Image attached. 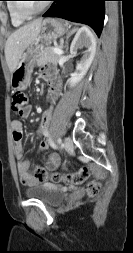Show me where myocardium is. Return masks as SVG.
<instances>
[{"instance_id":"obj_1","label":"myocardium","mask_w":133,"mask_h":253,"mask_svg":"<svg viewBox=\"0 0 133 253\" xmlns=\"http://www.w3.org/2000/svg\"><path fill=\"white\" fill-rule=\"evenodd\" d=\"M16 2H13V7L14 10L16 12V14L23 19H30L32 17H35L36 15L42 13L48 6L47 2H44L38 9L34 10V11H28L27 9H25L22 4L20 2H18L19 0H14Z\"/></svg>"}]
</instances>
